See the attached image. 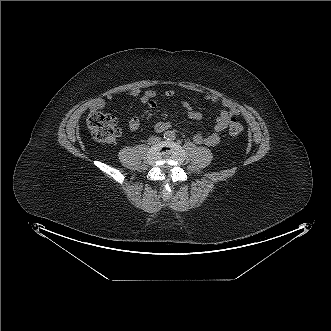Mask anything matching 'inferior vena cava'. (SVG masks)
<instances>
[{"label": "inferior vena cava", "instance_id": "obj_1", "mask_svg": "<svg viewBox=\"0 0 331 331\" xmlns=\"http://www.w3.org/2000/svg\"><path fill=\"white\" fill-rule=\"evenodd\" d=\"M149 140L152 141V142H155V141L159 140V137L154 136V137H151Z\"/></svg>", "mask_w": 331, "mask_h": 331}]
</instances>
